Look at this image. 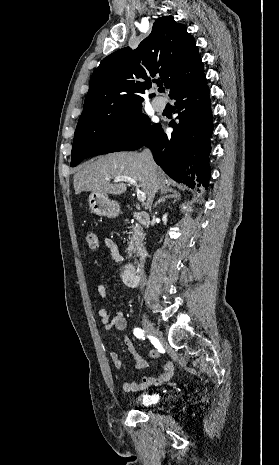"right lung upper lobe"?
Wrapping results in <instances>:
<instances>
[{
  "label": "right lung upper lobe",
  "mask_w": 279,
  "mask_h": 465,
  "mask_svg": "<svg viewBox=\"0 0 279 465\" xmlns=\"http://www.w3.org/2000/svg\"><path fill=\"white\" fill-rule=\"evenodd\" d=\"M203 74L198 48L185 25L172 16L160 17L136 50L123 48L101 61L91 76L78 125L91 123L106 113L141 107L142 94L156 76L153 82L161 80L173 95Z\"/></svg>",
  "instance_id": "right-lung-upper-lobe-1"
}]
</instances>
